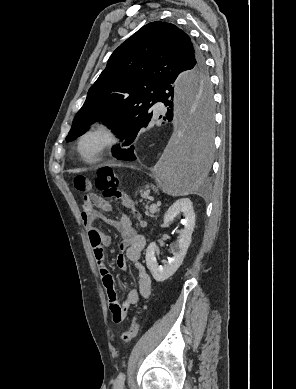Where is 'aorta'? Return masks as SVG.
I'll return each mask as SVG.
<instances>
[{
	"label": "aorta",
	"mask_w": 296,
	"mask_h": 389,
	"mask_svg": "<svg viewBox=\"0 0 296 389\" xmlns=\"http://www.w3.org/2000/svg\"><path fill=\"white\" fill-rule=\"evenodd\" d=\"M212 89L207 72H182L173 83L175 130L156 174L174 194L200 189L211 167L215 129Z\"/></svg>",
	"instance_id": "1"
}]
</instances>
